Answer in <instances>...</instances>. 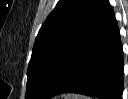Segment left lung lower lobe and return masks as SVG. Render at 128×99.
<instances>
[{"label":"left lung lower lobe","instance_id":"0a47b994","mask_svg":"<svg viewBox=\"0 0 128 99\" xmlns=\"http://www.w3.org/2000/svg\"><path fill=\"white\" fill-rule=\"evenodd\" d=\"M123 47L111 5L84 45L64 65L49 98L78 93L101 99H122Z\"/></svg>","mask_w":128,"mask_h":99}]
</instances>
